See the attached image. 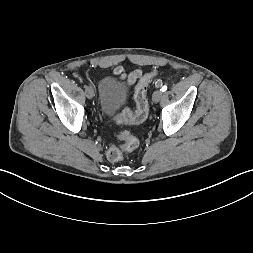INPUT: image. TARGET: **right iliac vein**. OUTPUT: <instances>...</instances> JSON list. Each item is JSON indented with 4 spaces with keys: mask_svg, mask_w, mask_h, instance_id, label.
<instances>
[{
    "mask_svg": "<svg viewBox=\"0 0 253 253\" xmlns=\"http://www.w3.org/2000/svg\"><path fill=\"white\" fill-rule=\"evenodd\" d=\"M85 95L87 98L92 99L94 97V90L92 87H87L85 89Z\"/></svg>",
    "mask_w": 253,
    "mask_h": 253,
    "instance_id": "1",
    "label": "right iliac vein"
}]
</instances>
